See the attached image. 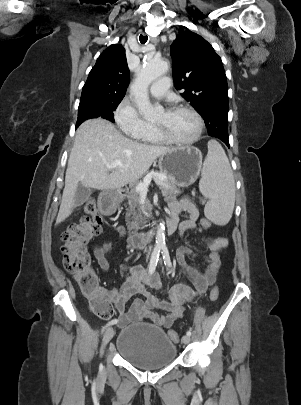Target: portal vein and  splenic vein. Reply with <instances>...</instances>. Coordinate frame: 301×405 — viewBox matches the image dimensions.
Wrapping results in <instances>:
<instances>
[{
    "label": "portal vein and splenic vein",
    "mask_w": 301,
    "mask_h": 405,
    "mask_svg": "<svg viewBox=\"0 0 301 405\" xmlns=\"http://www.w3.org/2000/svg\"><path fill=\"white\" fill-rule=\"evenodd\" d=\"M120 165H121V161L116 159V160H114V162L108 164V165H107V168H108V169H113V168H116L117 166H120ZM153 177L156 178V179L159 180V181H164V180H166V176H164V175H162V174H159V173H154L153 175H149V176L145 177V179L143 180V182L139 183V184L136 186V191H137L139 194H146L147 191H148V186H149V184L151 183V179H152Z\"/></svg>",
    "instance_id": "18ae733b"
}]
</instances>
